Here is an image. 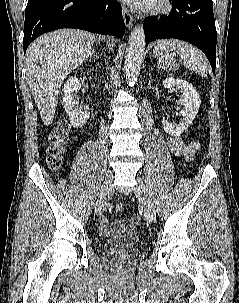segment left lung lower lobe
Here are the masks:
<instances>
[{"label":"left lung lower lobe","instance_id":"obj_1","mask_svg":"<svg viewBox=\"0 0 239 303\" xmlns=\"http://www.w3.org/2000/svg\"><path fill=\"white\" fill-rule=\"evenodd\" d=\"M172 11L160 19H146V45L151 41L176 38L192 43L216 67V27L212 0H172Z\"/></svg>","mask_w":239,"mask_h":303}]
</instances>
